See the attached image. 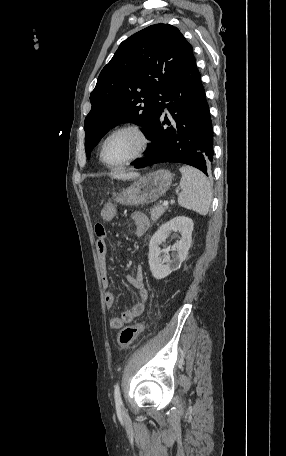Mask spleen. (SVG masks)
Instances as JSON below:
<instances>
[{"instance_id":"spleen-1","label":"spleen","mask_w":286,"mask_h":456,"mask_svg":"<svg viewBox=\"0 0 286 456\" xmlns=\"http://www.w3.org/2000/svg\"><path fill=\"white\" fill-rule=\"evenodd\" d=\"M180 171L182 191L178 196L179 205L200 215H206L212 201L210 182L201 171L193 167L182 166Z\"/></svg>"}]
</instances>
